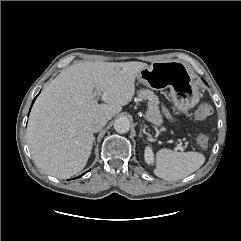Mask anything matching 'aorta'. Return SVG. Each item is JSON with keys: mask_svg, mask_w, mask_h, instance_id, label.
<instances>
[{"mask_svg": "<svg viewBox=\"0 0 241 241\" xmlns=\"http://www.w3.org/2000/svg\"><path fill=\"white\" fill-rule=\"evenodd\" d=\"M114 129L117 133H127L130 129V122L127 118L120 117L114 122Z\"/></svg>", "mask_w": 241, "mask_h": 241, "instance_id": "1", "label": "aorta"}]
</instances>
